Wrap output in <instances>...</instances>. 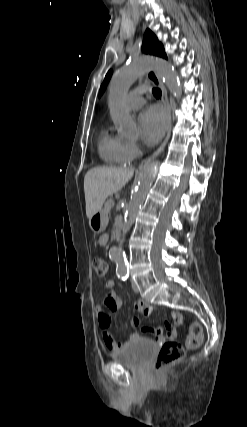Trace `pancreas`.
Masks as SVG:
<instances>
[{
  "label": "pancreas",
  "instance_id": "cf45deb5",
  "mask_svg": "<svg viewBox=\"0 0 247 427\" xmlns=\"http://www.w3.org/2000/svg\"><path fill=\"white\" fill-rule=\"evenodd\" d=\"M114 201H113V199H108L106 202H105V205H104V209H103V212H105L106 214L107 213H109L110 212V210H111V208H112V203H113Z\"/></svg>",
  "mask_w": 247,
  "mask_h": 427
}]
</instances>
